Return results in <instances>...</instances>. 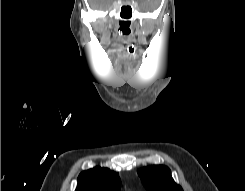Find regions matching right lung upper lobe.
I'll list each match as a JSON object with an SVG mask.
<instances>
[{
    "mask_svg": "<svg viewBox=\"0 0 245 191\" xmlns=\"http://www.w3.org/2000/svg\"><path fill=\"white\" fill-rule=\"evenodd\" d=\"M120 178L108 168L94 167L78 177L75 191H119Z\"/></svg>",
    "mask_w": 245,
    "mask_h": 191,
    "instance_id": "cb5924a9",
    "label": "right lung upper lobe"
}]
</instances>
